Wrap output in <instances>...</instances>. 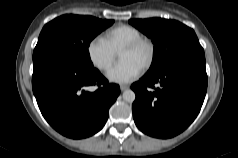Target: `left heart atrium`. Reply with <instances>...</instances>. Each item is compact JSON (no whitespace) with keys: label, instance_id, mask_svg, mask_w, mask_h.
<instances>
[{"label":"left heart atrium","instance_id":"1","mask_svg":"<svg viewBox=\"0 0 238 158\" xmlns=\"http://www.w3.org/2000/svg\"><path fill=\"white\" fill-rule=\"evenodd\" d=\"M141 67L131 61H121L107 72V78L115 83H127L135 79Z\"/></svg>","mask_w":238,"mask_h":158}]
</instances>
